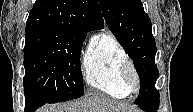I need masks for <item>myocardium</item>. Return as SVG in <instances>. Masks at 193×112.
I'll return each mask as SVG.
<instances>
[{
    "label": "myocardium",
    "mask_w": 193,
    "mask_h": 112,
    "mask_svg": "<svg viewBox=\"0 0 193 112\" xmlns=\"http://www.w3.org/2000/svg\"><path fill=\"white\" fill-rule=\"evenodd\" d=\"M122 77L130 92H137L140 88V78L131 60H127L121 68Z\"/></svg>",
    "instance_id": "1"
}]
</instances>
